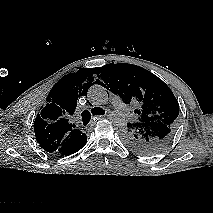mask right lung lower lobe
Segmentation results:
<instances>
[{"label": "right lung lower lobe", "instance_id": "obj_1", "mask_svg": "<svg viewBox=\"0 0 213 213\" xmlns=\"http://www.w3.org/2000/svg\"><path fill=\"white\" fill-rule=\"evenodd\" d=\"M87 143V138H86V135L85 137L79 141L75 146H73L72 148L66 150L65 152L61 153V155H71L77 151H79L82 147H84V145Z\"/></svg>", "mask_w": 213, "mask_h": 213}]
</instances>
